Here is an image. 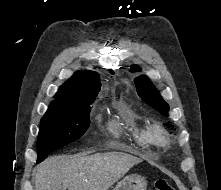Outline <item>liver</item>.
Segmentation results:
<instances>
[{
	"label": "liver",
	"instance_id": "1",
	"mask_svg": "<svg viewBox=\"0 0 221 190\" xmlns=\"http://www.w3.org/2000/svg\"><path fill=\"white\" fill-rule=\"evenodd\" d=\"M142 162L124 152L58 155L35 169V190H108Z\"/></svg>",
	"mask_w": 221,
	"mask_h": 190
}]
</instances>
